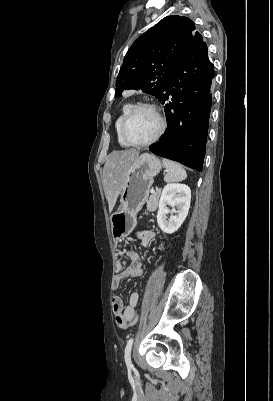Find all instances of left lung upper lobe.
Instances as JSON below:
<instances>
[{
  "instance_id": "obj_1",
  "label": "left lung upper lobe",
  "mask_w": 273,
  "mask_h": 401,
  "mask_svg": "<svg viewBox=\"0 0 273 401\" xmlns=\"http://www.w3.org/2000/svg\"><path fill=\"white\" fill-rule=\"evenodd\" d=\"M201 37L189 18L178 15L163 18L129 48L116 79L115 97L126 89H141L158 98L179 61Z\"/></svg>"
}]
</instances>
